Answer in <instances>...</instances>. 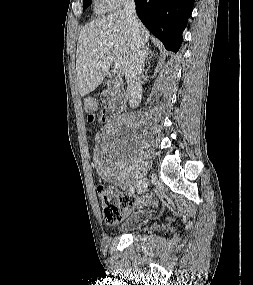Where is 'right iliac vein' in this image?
Instances as JSON below:
<instances>
[{
  "label": "right iliac vein",
  "mask_w": 253,
  "mask_h": 285,
  "mask_svg": "<svg viewBox=\"0 0 253 285\" xmlns=\"http://www.w3.org/2000/svg\"><path fill=\"white\" fill-rule=\"evenodd\" d=\"M147 186H148V181L146 178H143L137 185V192L139 194L145 192L147 189Z\"/></svg>",
  "instance_id": "obj_1"
}]
</instances>
